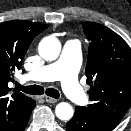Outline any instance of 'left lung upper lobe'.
<instances>
[{
	"label": "left lung upper lobe",
	"instance_id": "left-lung-upper-lobe-1",
	"mask_svg": "<svg viewBox=\"0 0 131 131\" xmlns=\"http://www.w3.org/2000/svg\"><path fill=\"white\" fill-rule=\"evenodd\" d=\"M83 29L90 41L86 76L92 104L81 108L113 130L131 106V49L103 25L85 22Z\"/></svg>",
	"mask_w": 131,
	"mask_h": 131
}]
</instances>
